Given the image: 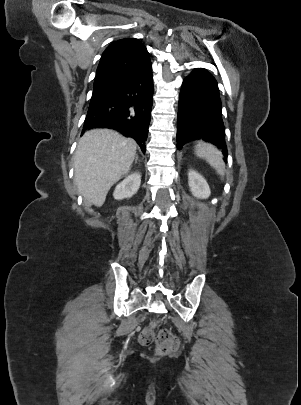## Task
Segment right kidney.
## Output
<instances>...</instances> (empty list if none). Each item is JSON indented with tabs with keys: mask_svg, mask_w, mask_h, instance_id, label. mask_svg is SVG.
<instances>
[{
	"mask_svg": "<svg viewBox=\"0 0 301 405\" xmlns=\"http://www.w3.org/2000/svg\"><path fill=\"white\" fill-rule=\"evenodd\" d=\"M141 183V174L134 172L128 175L122 182H120L113 193L116 200L130 198L138 191Z\"/></svg>",
	"mask_w": 301,
	"mask_h": 405,
	"instance_id": "obj_1",
	"label": "right kidney"
}]
</instances>
